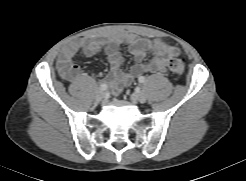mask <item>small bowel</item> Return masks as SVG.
<instances>
[{
  "instance_id": "obj_1",
  "label": "small bowel",
  "mask_w": 246,
  "mask_h": 181,
  "mask_svg": "<svg viewBox=\"0 0 246 181\" xmlns=\"http://www.w3.org/2000/svg\"><path fill=\"white\" fill-rule=\"evenodd\" d=\"M126 44L135 59V64L124 72L121 66L124 57L120 52V46ZM78 51L93 57L104 54L111 65L110 72L104 81L112 88L114 93H119L130 82L146 73H162L167 69L169 60L178 56L180 51L177 47L168 45L160 40L141 39L137 36L121 32L110 37H79L68 42L61 50L57 66L60 75L66 80H77L80 76V68L73 61ZM149 51L153 57L146 61Z\"/></svg>"
}]
</instances>
